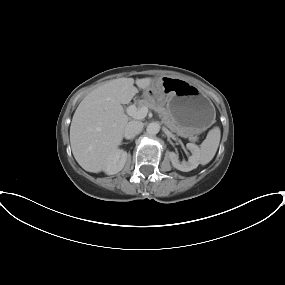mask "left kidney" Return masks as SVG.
<instances>
[{
	"label": "left kidney",
	"mask_w": 285,
	"mask_h": 285,
	"mask_svg": "<svg viewBox=\"0 0 285 285\" xmlns=\"http://www.w3.org/2000/svg\"><path fill=\"white\" fill-rule=\"evenodd\" d=\"M186 147L192 153V155L188 159V162L180 163L178 160V156L174 152H170L169 154V158L171 160L173 167L183 172L191 171L197 168L198 165L200 164L199 147L193 143H187Z\"/></svg>",
	"instance_id": "1"
}]
</instances>
